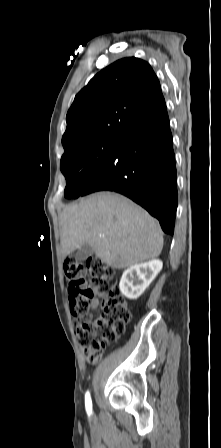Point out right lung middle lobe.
<instances>
[{
	"label": "right lung middle lobe",
	"instance_id": "right-lung-middle-lobe-1",
	"mask_svg": "<svg viewBox=\"0 0 221 448\" xmlns=\"http://www.w3.org/2000/svg\"><path fill=\"white\" fill-rule=\"evenodd\" d=\"M118 137L105 138L79 145L61 158V171L66 178L64 196L75 199L82 195L85 187L109 156Z\"/></svg>",
	"mask_w": 221,
	"mask_h": 448
}]
</instances>
